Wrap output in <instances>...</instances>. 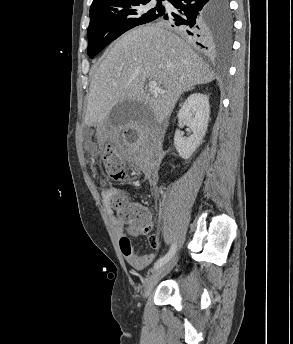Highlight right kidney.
<instances>
[{
  "label": "right kidney",
  "instance_id": "ca27d5eb",
  "mask_svg": "<svg viewBox=\"0 0 293 344\" xmlns=\"http://www.w3.org/2000/svg\"><path fill=\"white\" fill-rule=\"evenodd\" d=\"M210 115L209 98L202 93L190 95L178 112V119L188 126L193 134L184 138L180 130L174 135V146L183 159H189L202 143L206 134Z\"/></svg>",
  "mask_w": 293,
  "mask_h": 344
}]
</instances>
